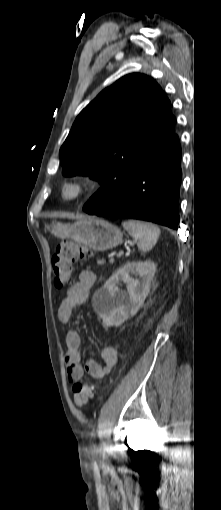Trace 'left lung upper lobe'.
I'll use <instances>...</instances> for the list:
<instances>
[{"label": "left lung upper lobe", "instance_id": "left-lung-upper-lobe-1", "mask_svg": "<svg viewBox=\"0 0 221 510\" xmlns=\"http://www.w3.org/2000/svg\"><path fill=\"white\" fill-rule=\"evenodd\" d=\"M176 119L160 86L129 74L104 89L77 116L59 156L63 175H89L101 188L88 200L100 209L127 185L143 161L175 141Z\"/></svg>", "mask_w": 221, "mask_h": 510}]
</instances>
